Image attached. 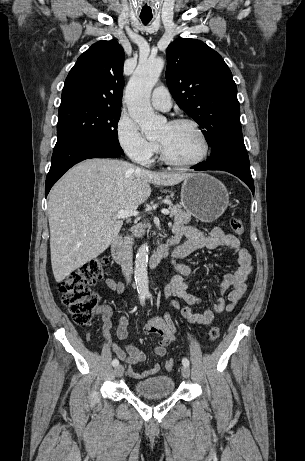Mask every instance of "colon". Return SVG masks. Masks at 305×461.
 <instances>
[{
	"label": "colon",
	"mask_w": 305,
	"mask_h": 461,
	"mask_svg": "<svg viewBox=\"0 0 305 461\" xmlns=\"http://www.w3.org/2000/svg\"><path fill=\"white\" fill-rule=\"evenodd\" d=\"M230 228L237 236L244 234V226L239 219L232 218ZM108 262V258L105 256L91 260L69 274L59 284L62 303L68 309L75 323L83 326H89L93 323L99 296L91 289V286L103 278ZM219 336L220 332L217 327L210 329L208 333L210 341H216ZM174 367L175 361L173 359L165 361V368L168 371L173 370Z\"/></svg>",
	"instance_id": "obj_1"
}]
</instances>
